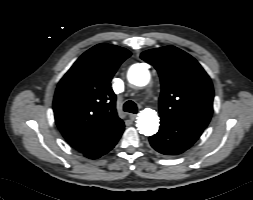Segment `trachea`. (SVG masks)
I'll list each match as a JSON object with an SVG mask.
<instances>
[{"instance_id":"obj_1","label":"trachea","mask_w":253,"mask_h":200,"mask_svg":"<svg viewBox=\"0 0 253 200\" xmlns=\"http://www.w3.org/2000/svg\"><path fill=\"white\" fill-rule=\"evenodd\" d=\"M123 110L125 112H129V113H136L137 112V105L129 100L127 102H125L124 106H123Z\"/></svg>"}]
</instances>
